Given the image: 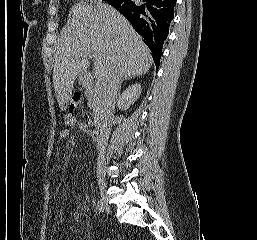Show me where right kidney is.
Listing matches in <instances>:
<instances>
[{
    "mask_svg": "<svg viewBox=\"0 0 257 240\" xmlns=\"http://www.w3.org/2000/svg\"><path fill=\"white\" fill-rule=\"evenodd\" d=\"M142 91L140 84L129 86L119 97L117 106L121 110H127L139 98Z\"/></svg>",
    "mask_w": 257,
    "mask_h": 240,
    "instance_id": "right-kidney-1",
    "label": "right kidney"
}]
</instances>
